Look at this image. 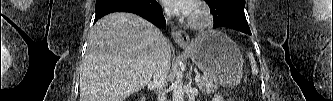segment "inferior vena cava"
<instances>
[{
    "label": "inferior vena cava",
    "mask_w": 333,
    "mask_h": 101,
    "mask_svg": "<svg viewBox=\"0 0 333 101\" xmlns=\"http://www.w3.org/2000/svg\"><path fill=\"white\" fill-rule=\"evenodd\" d=\"M166 20H170V12L166 10ZM171 51L170 46L165 40L162 46L158 49L154 75L153 84L158 90V101H166V92L163 88L167 85V74L170 69Z\"/></svg>",
    "instance_id": "1"
}]
</instances>
